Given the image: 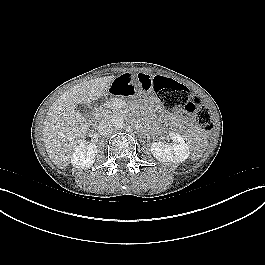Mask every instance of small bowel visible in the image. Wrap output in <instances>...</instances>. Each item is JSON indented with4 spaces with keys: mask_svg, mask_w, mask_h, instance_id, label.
Here are the masks:
<instances>
[{
    "mask_svg": "<svg viewBox=\"0 0 265 265\" xmlns=\"http://www.w3.org/2000/svg\"><path fill=\"white\" fill-rule=\"evenodd\" d=\"M129 78V76H126V79ZM111 91L115 95H130L134 91V84L130 80H122L119 78L112 82Z\"/></svg>",
    "mask_w": 265,
    "mask_h": 265,
    "instance_id": "obj_1",
    "label": "small bowel"
}]
</instances>
